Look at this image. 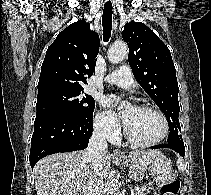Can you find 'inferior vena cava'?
<instances>
[{"label":"inferior vena cava","mask_w":211,"mask_h":195,"mask_svg":"<svg viewBox=\"0 0 211 195\" xmlns=\"http://www.w3.org/2000/svg\"><path fill=\"white\" fill-rule=\"evenodd\" d=\"M111 128L109 122L96 125L85 154V158L92 164V174L88 181L87 195H103L104 174L102 157L103 152L107 149L106 136Z\"/></svg>","instance_id":"602c4592"}]
</instances>
